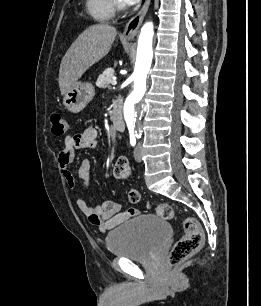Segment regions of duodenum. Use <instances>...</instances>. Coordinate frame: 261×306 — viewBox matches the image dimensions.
Masks as SVG:
<instances>
[{"mask_svg":"<svg viewBox=\"0 0 261 306\" xmlns=\"http://www.w3.org/2000/svg\"><path fill=\"white\" fill-rule=\"evenodd\" d=\"M111 121L117 130H124L125 123L120 105L116 103L110 112Z\"/></svg>","mask_w":261,"mask_h":306,"instance_id":"obj_1","label":"duodenum"}]
</instances>
